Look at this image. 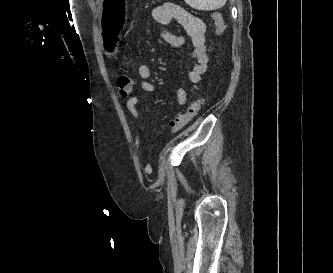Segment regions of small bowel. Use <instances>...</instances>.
Segmentation results:
<instances>
[{"label":"small bowel","instance_id":"obj_1","mask_svg":"<svg viewBox=\"0 0 333 273\" xmlns=\"http://www.w3.org/2000/svg\"><path fill=\"white\" fill-rule=\"evenodd\" d=\"M150 14L158 26V35L170 46L179 48L184 46L187 42L190 44V55L194 59V64L187 69V75L190 82L199 83L208 64L205 23L183 7L173 3H166L164 5L157 6L151 10ZM172 23L181 25L186 34L176 35L163 28L164 26H168ZM137 75L140 79V90L144 93L153 92L154 86L150 81L152 75L150 66L147 64H140L137 69ZM175 95L177 103L180 106H185L187 104V93L183 87H178ZM138 104L139 98L133 96L127 100L126 108L135 121L138 124H142V119L137 108ZM176 118L177 116L172 120L171 124ZM134 147L138 154L145 155V149L138 133L134 138ZM151 170L152 168L149 164L144 166V171L146 173H149Z\"/></svg>","mask_w":333,"mask_h":273}]
</instances>
